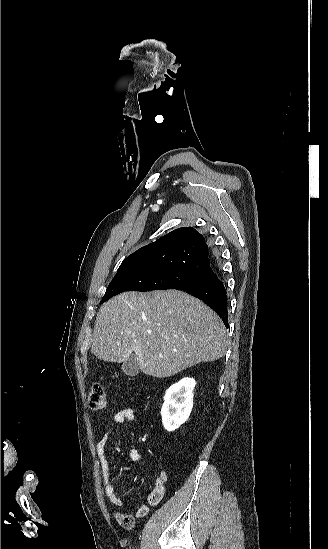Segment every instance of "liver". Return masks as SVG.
<instances>
[{
    "label": "liver",
    "mask_w": 328,
    "mask_h": 549,
    "mask_svg": "<svg viewBox=\"0 0 328 549\" xmlns=\"http://www.w3.org/2000/svg\"><path fill=\"white\" fill-rule=\"evenodd\" d=\"M92 353L125 363L135 353L141 373L172 377L183 369L223 357L227 331L218 315L182 291L121 293L102 305ZM150 333V335H149Z\"/></svg>",
    "instance_id": "liver-1"
}]
</instances>
